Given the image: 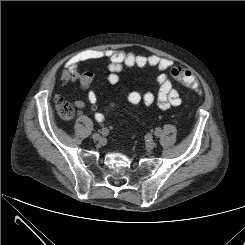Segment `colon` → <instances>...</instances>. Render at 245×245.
Segmentation results:
<instances>
[{"mask_svg":"<svg viewBox=\"0 0 245 245\" xmlns=\"http://www.w3.org/2000/svg\"><path fill=\"white\" fill-rule=\"evenodd\" d=\"M170 75L186 87L198 90V81L195 74L182 67H173L170 70ZM57 109L62 118L68 120L75 115V107L63 98L57 101Z\"/></svg>","mask_w":245,"mask_h":245,"instance_id":"colon-1","label":"colon"}]
</instances>
